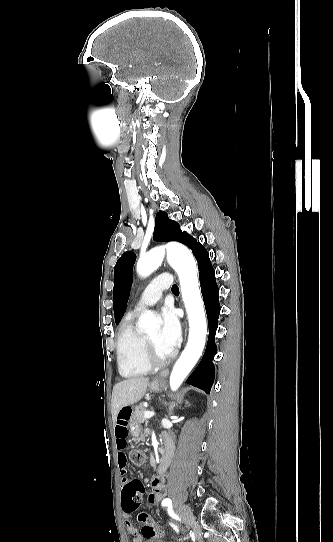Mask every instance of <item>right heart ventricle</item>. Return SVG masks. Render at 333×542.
<instances>
[{"label": "right heart ventricle", "instance_id": "e07e8e85", "mask_svg": "<svg viewBox=\"0 0 333 542\" xmlns=\"http://www.w3.org/2000/svg\"><path fill=\"white\" fill-rule=\"evenodd\" d=\"M136 316L131 313V320L119 329L115 339L118 369L126 378L140 377L151 368L142 356L143 335L137 330Z\"/></svg>", "mask_w": 333, "mask_h": 542}]
</instances>
